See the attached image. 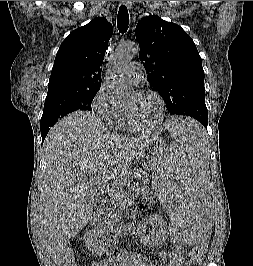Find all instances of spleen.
Segmentation results:
<instances>
[{
    "mask_svg": "<svg viewBox=\"0 0 253 266\" xmlns=\"http://www.w3.org/2000/svg\"><path fill=\"white\" fill-rule=\"evenodd\" d=\"M168 150L154 160L150 179L153 199L169 216L171 248H203L211 235L216 207H208V136L201 135L195 117H166Z\"/></svg>",
    "mask_w": 253,
    "mask_h": 266,
    "instance_id": "spleen-1",
    "label": "spleen"
}]
</instances>
